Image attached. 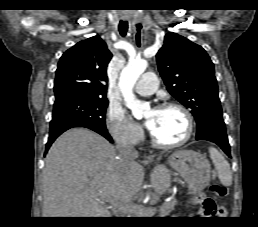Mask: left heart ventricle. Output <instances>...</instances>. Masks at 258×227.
I'll list each match as a JSON object with an SVG mask.
<instances>
[{
	"label": "left heart ventricle",
	"mask_w": 258,
	"mask_h": 227,
	"mask_svg": "<svg viewBox=\"0 0 258 227\" xmlns=\"http://www.w3.org/2000/svg\"><path fill=\"white\" fill-rule=\"evenodd\" d=\"M145 117L152 122L151 131L162 142H176L186 133V119L177 109L149 110Z\"/></svg>",
	"instance_id": "obj_1"
}]
</instances>
